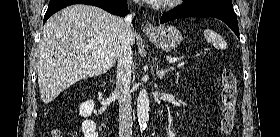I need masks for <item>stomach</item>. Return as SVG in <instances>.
<instances>
[{"label":"stomach","mask_w":280,"mask_h":137,"mask_svg":"<svg viewBox=\"0 0 280 137\" xmlns=\"http://www.w3.org/2000/svg\"><path fill=\"white\" fill-rule=\"evenodd\" d=\"M146 35L160 49L170 51L182 41L181 32L172 25H161Z\"/></svg>","instance_id":"1"}]
</instances>
